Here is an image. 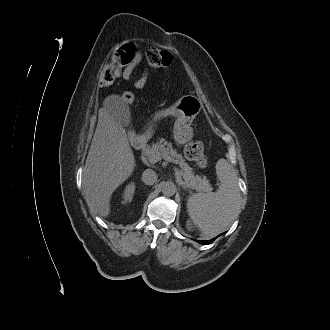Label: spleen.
I'll return each mask as SVG.
<instances>
[{"instance_id": "3e777b00", "label": "spleen", "mask_w": 330, "mask_h": 330, "mask_svg": "<svg viewBox=\"0 0 330 330\" xmlns=\"http://www.w3.org/2000/svg\"><path fill=\"white\" fill-rule=\"evenodd\" d=\"M220 187L216 192L196 193L188 198L187 211L205 238L223 232L234 220L240 207L238 175L226 159L216 163Z\"/></svg>"}]
</instances>
